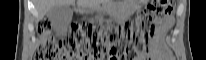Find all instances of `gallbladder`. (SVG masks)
Segmentation results:
<instances>
[{
  "mask_svg": "<svg viewBox=\"0 0 206 60\" xmlns=\"http://www.w3.org/2000/svg\"><path fill=\"white\" fill-rule=\"evenodd\" d=\"M54 30H63L68 27L72 20L73 11L70 5H55L47 12Z\"/></svg>",
  "mask_w": 206,
  "mask_h": 60,
  "instance_id": "bac80fb5",
  "label": "gallbladder"
}]
</instances>
